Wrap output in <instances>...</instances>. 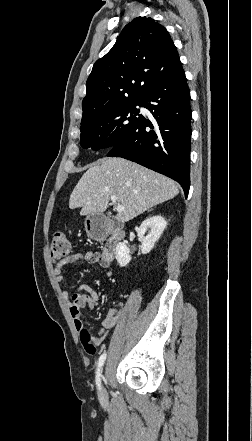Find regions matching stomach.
I'll use <instances>...</instances> for the list:
<instances>
[{
    "mask_svg": "<svg viewBox=\"0 0 252 441\" xmlns=\"http://www.w3.org/2000/svg\"><path fill=\"white\" fill-rule=\"evenodd\" d=\"M91 226H92V217L91 216H87V218L85 220V229H86L88 234L91 233Z\"/></svg>",
    "mask_w": 252,
    "mask_h": 441,
    "instance_id": "1",
    "label": "stomach"
}]
</instances>
